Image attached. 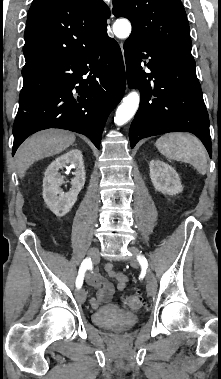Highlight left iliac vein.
<instances>
[{"label": "left iliac vein", "instance_id": "left-iliac-vein-1", "mask_svg": "<svg viewBox=\"0 0 221 379\" xmlns=\"http://www.w3.org/2000/svg\"><path fill=\"white\" fill-rule=\"evenodd\" d=\"M130 251L134 253V257L130 259V264L133 267H137L139 265L137 255H140L141 251L136 247H130ZM146 288L149 296H153L157 291V281L152 273H148L146 279Z\"/></svg>", "mask_w": 221, "mask_h": 379}]
</instances>
